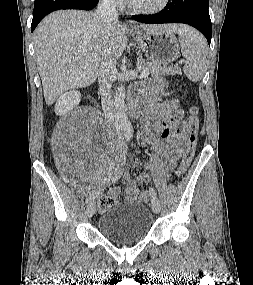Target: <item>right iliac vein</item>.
I'll list each match as a JSON object with an SVG mask.
<instances>
[{"instance_id": "63e3f726", "label": "right iliac vein", "mask_w": 253, "mask_h": 285, "mask_svg": "<svg viewBox=\"0 0 253 285\" xmlns=\"http://www.w3.org/2000/svg\"><path fill=\"white\" fill-rule=\"evenodd\" d=\"M96 211V203L94 201H90L87 206V215L88 217H92Z\"/></svg>"}]
</instances>
